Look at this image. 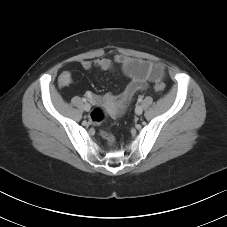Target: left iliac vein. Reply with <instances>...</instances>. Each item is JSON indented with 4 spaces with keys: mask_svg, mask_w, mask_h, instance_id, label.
Here are the masks:
<instances>
[{
    "mask_svg": "<svg viewBox=\"0 0 227 227\" xmlns=\"http://www.w3.org/2000/svg\"><path fill=\"white\" fill-rule=\"evenodd\" d=\"M142 112H143L142 106L137 105L136 108H135V113H136L137 115H141Z\"/></svg>",
    "mask_w": 227,
    "mask_h": 227,
    "instance_id": "obj_1",
    "label": "left iliac vein"
}]
</instances>
